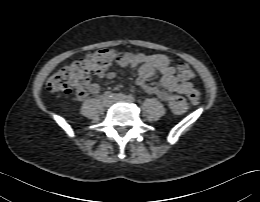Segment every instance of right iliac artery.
Listing matches in <instances>:
<instances>
[{
    "instance_id": "1",
    "label": "right iliac artery",
    "mask_w": 260,
    "mask_h": 202,
    "mask_svg": "<svg viewBox=\"0 0 260 202\" xmlns=\"http://www.w3.org/2000/svg\"><path fill=\"white\" fill-rule=\"evenodd\" d=\"M105 96H106V97H113V94H112L111 92H106V93H105Z\"/></svg>"
}]
</instances>
